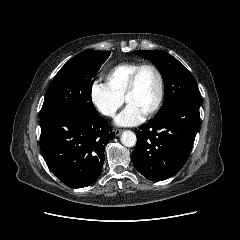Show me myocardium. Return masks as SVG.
<instances>
[{"label":"myocardium","mask_w":240,"mask_h":240,"mask_svg":"<svg viewBox=\"0 0 240 240\" xmlns=\"http://www.w3.org/2000/svg\"><path fill=\"white\" fill-rule=\"evenodd\" d=\"M146 68L152 69L155 72V74L158 78V85H159L158 95H157L155 103L149 110H147L144 113L145 116H151L160 108L163 98H164V91H165V82H164L163 74L156 65H154L152 63H144L135 69V71L131 74V76L129 78L128 85H127V88H126V91L124 94V99L126 101L128 96L131 93H133V91L135 90L136 85H137V80H138L139 74L141 73L142 70H144Z\"/></svg>","instance_id":"myocardium-1"}]
</instances>
